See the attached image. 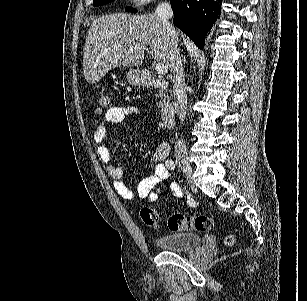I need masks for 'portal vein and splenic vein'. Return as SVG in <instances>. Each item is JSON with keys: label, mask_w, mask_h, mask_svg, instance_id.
Here are the masks:
<instances>
[{"label": "portal vein and splenic vein", "mask_w": 307, "mask_h": 301, "mask_svg": "<svg viewBox=\"0 0 307 301\" xmlns=\"http://www.w3.org/2000/svg\"><path fill=\"white\" fill-rule=\"evenodd\" d=\"M155 68L158 74H166V72H168V68L165 66V64H163V62H157V64H155Z\"/></svg>", "instance_id": "portal-vein-and-splenic-vein-1"}]
</instances>
